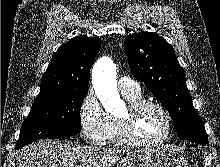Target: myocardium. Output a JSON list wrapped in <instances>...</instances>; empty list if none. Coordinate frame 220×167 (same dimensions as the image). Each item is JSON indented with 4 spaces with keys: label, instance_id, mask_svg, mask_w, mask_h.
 Segmentation results:
<instances>
[{
    "label": "myocardium",
    "instance_id": "myocardium-1",
    "mask_svg": "<svg viewBox=\"0 0 220 167\" xmlns=\"http://www.w3.org/2000/svg\"><path fill=\"white\" fill-rule=\"evenodd\" d=\"M147 106H153L159 109L166 119L167 122L166 133L158 139L145 140L139 138L135 132L136 119L139 113ZM118 121L120 126V134L123 141L126 144L134 145V146H144V147L160 146L171 138L174 131V122L171 114L162 103L155 100L140 99L131 102L126 108L125 113L121 114L118 117Z\"/></svg>",
    "mask_w": 220,
    "mask_h": 167
}]
</instances>
